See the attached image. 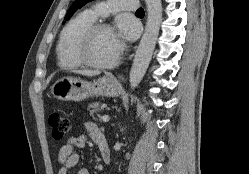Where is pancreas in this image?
<instances>
[{"label": "pancreas", "instance_id": "cf45deb5", "mask_svg": "<svg viewBox=\"0 0 249 174\" xmlns=\"http://www.w3.org/2000/svg\"><path fill=\"white\" fill-rule=\"evenodd\" d=\"M105 107H106L105 104H102L100 102H95L88 105V110L90 111V115H93L94 112H100Z\"/></svg>", "mask_w": 249, "mask_h": 174}]
</instances>
